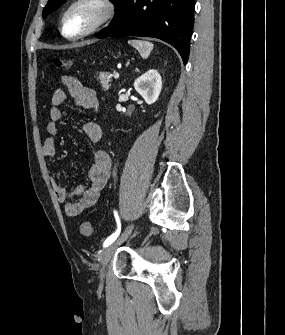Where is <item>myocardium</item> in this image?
Returning a JSON list of instances; mask_svg holds the SVG:
<instances>
[{
  "mask_svg": "<svg viewBox=\"0 0 285 335\" xmlns=\"http://www.w3.org/2000/svg\"><path fill=\"white\" fill-rule=\"evenodd\" d=\"M83 5H90L101 10V16L90 26L82 28L79 32L72 35L73 38L82 37L99 31L115 15V5L113 1H74L69 7L67 18H73L74 11Z\"/></svg>",
  "mask_w": 285,
  "mask_h": 335,
  "instance_id": "f54148a6",
  "label": "myocardium"
}]
</instances>
